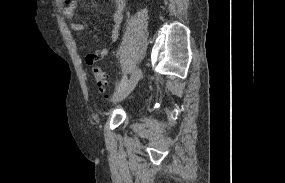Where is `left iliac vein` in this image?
Here are the masks:
<instances>
[{"mask_svg": "<svg viewBox=\"0 0 285 183\" xmlns=\"http://www.w3.org/2000/svg\"><path fill=\"white\" fill-rule=\"evenodd\" d=\"M141 69L137 67L131 74L129 80L126 82L125 86L116 92L115 97L113 98V103H117L125 99L131 91L135 88L138 81L141 78Z\"/></svg>", "mask_w": 285, "mask_h": 183, "instance_id": "obj_1", "label": "left iliac vein"}]
</instances>
